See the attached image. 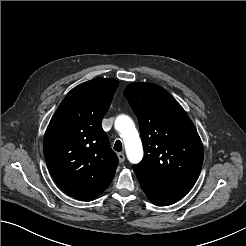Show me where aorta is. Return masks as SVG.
Instances as JSON below:
<instances>
[{
	"label": "aorta",
	"instance_id": "aorta-1",
	"mask_svg": "<svg viewBox=\"0 0 246 246\" xmlns=\"http://www.w3.org/2000/svg\"><path fill=\"white\" fill-rule=\"evenodd\" d=\"M115 128L123 138L129 162L139 163L143 158V147L133 120L127 115H120L115 120Z\"/></svg>",
	"mask_w": 246,
	"mask_h": 246
}]
</instances>
